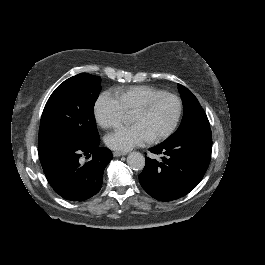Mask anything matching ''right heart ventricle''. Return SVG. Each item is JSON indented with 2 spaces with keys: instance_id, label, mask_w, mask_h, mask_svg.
Here are the masks:
<instances>
[{
  "instance_id": "right-heart-ventricle-1",
  "label": "right heart ventricle",
  "mask_w": 265,
  "mask_h": 265,
  "mask_svg": "<svg viewBox=\"0 0 265 265\" xmlns=\"http://www.w3.org/2000/svg\"><path fill=\"white\" fill-rule=\"evenodd\" d=\"M160 92L159 89L149 85H136L126 87L114 95L126 113H135L137 108L151 95Z\"/></svg>"
}]
</instances>
